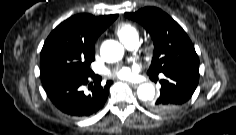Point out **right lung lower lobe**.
<instances>
[{
	"label": "right lung lower lobe",
	"mask_w": 236,
	"mask_h": 135,
	"mask_svg": "<svg viewBox=\"0 0 236 135\" xmlns=\"http://www.w3.org/2000/svg\"><path fill=\"white\" fill-rule=\"evenodd\" d=\"M41 81L52 103L64 114L77 118L96 114L105 104L112 84L109 80L101 86V77L92 72L60 70L41 71ZM86 85L89 93L83 91Z\"/></svg>",
	"instance_id": "1"
}]
</instances>
